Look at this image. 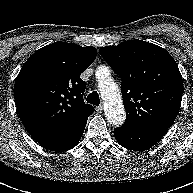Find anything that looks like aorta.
Masks as SVG:
<instances>
[{"label": "aorta", "mask_w": 193, "mask_h": 193, "mask_svg": "<svg viewBox=\"0 0 193 193\" xmlns=\"http://www.w3.org/2000/svg\"><path fill=\"white\" fill-rule=\"evenodd\" d=\"M99 81V90L104 103L107 121L113 126H120L125 120V109L121 93L116 82L110 77L108 67H99L95 73Z\"/></svg>", "instance_id": "obj_1"}]
</instances>
